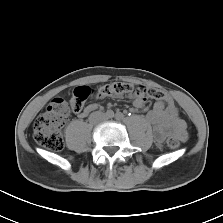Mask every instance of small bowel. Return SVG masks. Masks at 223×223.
I'll list each match as a JSON object with an SVG mask.
<instances>
[{"label": "small bowel", "instance_id": "c3829d8e", "mask_svg": "<svg viewBox=\"0 0 223 223\" xmlns=\"http://www.w3.org/2000/svg\"><path fill=\"white\" fill-rule=\"evenodd\" d=\"M133 105L138 109H143L145 103L140 98H134ZM97 108V104H89L84 108V110L79 112L78 115L79 117L84 118ZM146 119L153 127L155 139L158 145H161L165 137L171 134L177 136L181 141H185L187 139L185 121L179 116L175 104L168 107L164 104L162 99L157 100L154 103L153 108L147 113Z\"/></svg>", "mask_w": 223, "mask_h": 223}]
</instances>
